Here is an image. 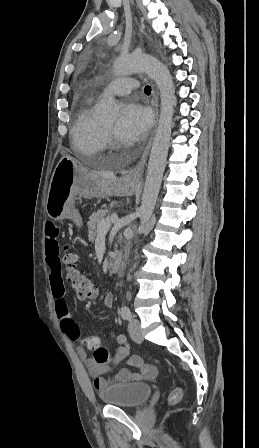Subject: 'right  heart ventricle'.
Returning <instances> with one entry per match:
<instances>
[{"mask_svg": "<svg viewBox=\"0 0 259 448\" xmlns=\"http://www.w3.org/2000/svg\"><path fill=\"white\" fill-rule=\"evenodd\" d=\"M93 95L82 98L77 105L72 127V140L82 153L81 163H92L91 156L106 149L103 122L93 115Z\"/></svg>", "mask_w": 259, "mask_h": 448, "instance_id": "obj_1", "label": "right heart ventricle"}]
</instances>
